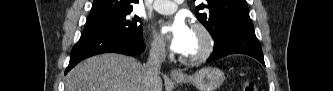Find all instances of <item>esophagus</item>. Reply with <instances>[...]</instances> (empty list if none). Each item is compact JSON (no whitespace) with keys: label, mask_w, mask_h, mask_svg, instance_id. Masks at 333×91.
Listing matches in <instances>:
<instances>
[{"label":"esophagus","mask_w":333,"mask_h":91,"mask_svg":"<svg viewBox=\"0 0 333 91\" xmlns=\"http://www.w3.org/2000/svg\"><path fill=\"white\" fill-rule=\"evenodd\" d=\"M171 76L174 77V78H176V77H180V76H182V72L179 71V70L173 69V70L171 71Z\"/></svg>","instance_id":"34e87169"}]
</instances>
